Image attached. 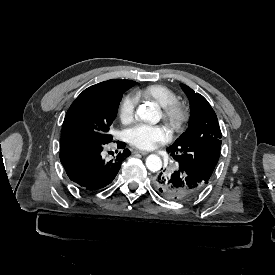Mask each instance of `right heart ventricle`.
I'll return each instance as SVG.
<instances>
[{"instance_id": "right-heart-ventricle-1", "label": "right heart ventricle", "mask_w": 275, "mask_h": 275, "mask_svg": "<svg viewBox=\"0 0 275 275\" xmlns=\"http://www.w3.org/2000/svg\"><path fill=\"white\" fill-rule=\"evenodd\" d=\"M138 97L148 98L165 106L176 100V95L164 85L150 84L136 91Z\"/></svg>"}]
</instances>
